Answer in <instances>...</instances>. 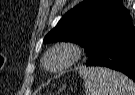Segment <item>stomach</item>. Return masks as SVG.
<instances>
[{"mask_svg":"<svg viewBox=\"0 0 135 95\" xmlns=\"http://www.w3.org/2000/svg\"><path fill=\"white\" fill-rule=\"evenodd\" d=\"M65 89V86L59 89V93L62 92Z\"/></svg>","mask_w":135,"mask_h":95,"instance_id":"0dacf381","label":"stomach"}]
</instances>
